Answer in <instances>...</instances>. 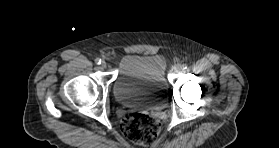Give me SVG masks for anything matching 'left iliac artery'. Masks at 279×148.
<instances>
[{
	"mask_svg": "<svg viewBox=\"0 0 279 148\" xmlns=\"http://www.w3.org/2000/svg\"><path fill=\"white\" fill-rule=\"evenodd\" d=\"M182 69L184 70V69H187V65L186 64H183L182 65Z\"/></svg>",
	"mask_w": 279,
	"mask_h": 148,
	"instance_id": "left-iliac-artery-1",
	"label": "left iliac artery"
}]
</instances>
